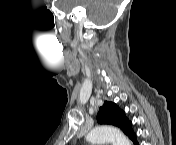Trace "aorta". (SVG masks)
I'll return each instance as SVG.
<instances>
[{
	"label": "aorta",
	"mask_w": 176,
	"mask_h": 145,
	"mask_svg": "<svg viewBox=\"0 0 176 145\" xmlns=\"http://www.w3.org/2000/svg\"><path fill=\"white\" fill-rule=\"evenodd\" d=\"M92 145L112 143V145H130V140L118 129L108 126H97L86 136Z\"/></svg>",
	"instance_id": "1"
}]
</instances>
